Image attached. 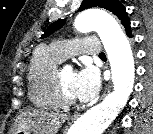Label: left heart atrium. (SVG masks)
<instances>
[{"mask_svg":"<svg viewBox=\"0 0 153 134\" xmlns=\"http://www.w3.org/2000/svg\"><path fill=\"white\" fill-rule=\"evenodd\" d=\"M100 81L94 68L87 66L75 74L74 92L80 101H89L95 97Z\"/></svg>","mask_w":153,"mask_h":134,"instance_id":"1","label":"left heart atrium"}]
</instances>
